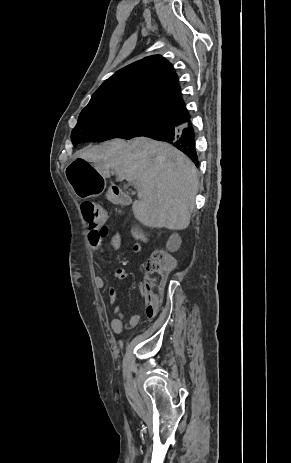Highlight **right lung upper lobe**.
<instances>
[{
  "mask_svg": "<svg viewBox=\"0 0 291 463\" xmlns=\"http://www.w3.org/2000/svg\"><path fill=\"white\" fill-rule=\"evenodd\" d=\"M84 109L137 111L177 119L182 124L190 121L178 77L160 55L146 57L116 72L94 92Z\"/></svg>",
  "mask_w": 291,
  "mask_h": 463,
  "instance_id": "cb5924a9",
  "label": "right lung upper lobe"
}]
</instances>
